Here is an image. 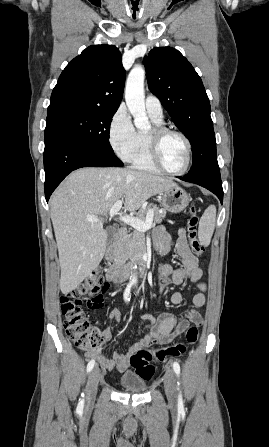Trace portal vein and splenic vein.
<instances>
[{
	"mask_svg": "<svg viewBox=\"0 0 269 447\" xmlns=\"http://www.w3.org/2000/svg\"><path fill=\"white\" fill-rule=\"evenodd\" d=\"M122 200H117L116 204L112 206L109 216H116L118 214L119 210L122 208ZM153 210H148L145 220H139V218H134V216H120L121 222H124V224L132 225V227H135V229H138V231H147V229H151L152 223L154 220L153 217ZM86 220L88 222H99L98 218H95V216H86Z\"/></svg>",
	"mask_w": 269,
	"mask_h": 447,
	"instance_id": "portal-vein-and-splenic-vein-1",
	"label": "portal vein and splenic vein"
}]
</instances>
